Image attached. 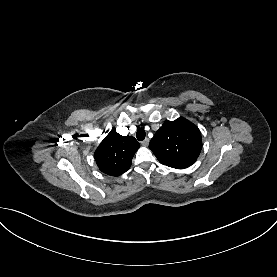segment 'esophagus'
<instances>
[{"label": "esophagus", "mask_w": 277, "mask_h": 277, "mask_svg": "<svg viewBox=\"0 0 277 277\" xmlns=\"http://www.w3.org/2000/svg\"><path fill=\"white\" fill-rule=\"evenodd\" d=\"M141 145L144 146V147H147V146L149 145V139L146 138L145 140H143V141L141 142Z\"/></svg>", "instance_id": "1"}]
</instances>
